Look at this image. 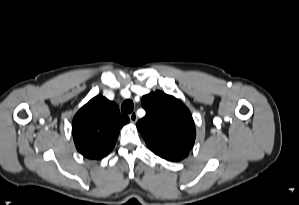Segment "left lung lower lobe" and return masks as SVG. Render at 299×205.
Instances as JSON below:
<instances>
[{
  "instance_id": "0a47b994",
  "label": "left lung lower lobe",
  "mask_w": 299,
  "mask_h": 205,
  "mask_svg": "<svg viewBox=\"0 0 299 205\" xmlns=\"http://www.w3.org/2000/svg\"><path fill=\"white\" fill-rule=\"evenodd\" d=\"M189 153V150H184V149H168L165 150L162 153H158L157 155L169 160V161H180L183 158H185Z\"/></svg>"
}]
</instances>
